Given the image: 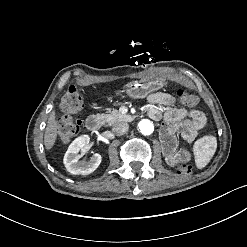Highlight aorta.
<instances>
[{
  "label": "aorta",
  "instance_id": "aorta-1",
  "mask_svg": "<svg viewBox=\"0 0 247 247\" xmlns=\"http://www.w3.org/2000/svg\"><path fill=\"white\" fill-rule=\"evenodd\" d=\"M138 126H139L141 133L144 135H150L154 131V125L152 121L148 119L141 120Z\"/></svg>",
  "mask_w": 247,
  "mask_h": 247
}]
</instances>
